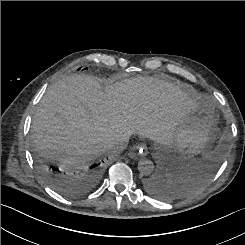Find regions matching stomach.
Masks as SVG:
<instances>
[{"label": "stomach", "instance_id": "obj_1", "mask_svg": "<svg viewBox=\"0 0 245 245\" xmlns=\"http://www.w3.org/2000/svg\"><path fill=\"white\" fill-rule=\"evenodd\" d=\"M218 115L214 101L200 100L195 110L184 116L171 135V146L186 154H199L218 134Z\"/></svg>", "mask_w": 245, "mask_h": 245}]
</instances>
